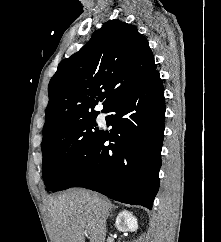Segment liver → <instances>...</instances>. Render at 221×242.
<instances>
[{
	"mask_svg": "<svg viewBox=\"0 0 221 242\" xmlns=\"http://www.w3.org/2000/svg\"><path fill=\"white\" fill-rule=\"evenodd\" d=\"M113 204L83 189H69L47 202L52 242H104L106 220Z\"/></svg>",
	"mask_w": 221,
	"mask_h": 242,
	"instance_id": "1",
	"label": "liver"
}]
</instances>
